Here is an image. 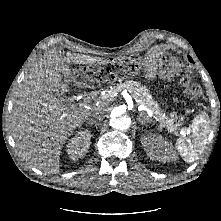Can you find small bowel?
<instances>
[{
    "label": "small bowel",
    "instance_id": "obj_1",
    "mask_svg": "<svg viewBox=\"0 0 221 221\" xmlns=\"http://www.w3.org/2000/svg\"><path fill=\"white\" fill-rule=\"evenodd\" d=\"M148 68L146 70V77L152 78L154 76V69H153V60L152 58H147Z\"/></svg>",
    "mask_w": 221,
    "mask_h": 221
}]
</instances>
